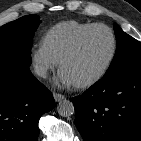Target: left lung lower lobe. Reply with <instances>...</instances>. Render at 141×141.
I'll list each match as a JSON object with an SVG mask.
<instances>
[{
	"mask_svg": "<svg viewBox=\"0 0 141 141\" xmlns=\"http://www.w3.org/2000/svg\"><path fill=\"white\" fill-rule=\"evenodd\" d=\"M72 101L84 141H140L141 67L102 78Z\"/></svg>",
	"mask_w": 141,
	"mask_h": 141,
	"instance_id": "1",
	"label": "left lung lower lobe"
}]
</instances>
